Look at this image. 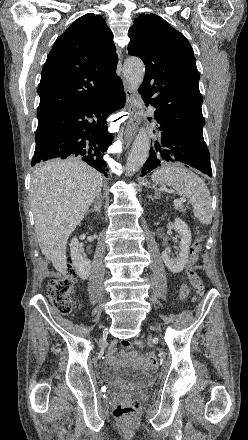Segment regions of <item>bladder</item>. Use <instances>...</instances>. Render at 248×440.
Returning a JSON list of instances; mask_svg holds the SVG:
<instances>
[{
  "label": "bladder",
  "mask_w": 248,
  "mask_h": 440,
  "mask_svg": "<svg viewBox=\"0 0 248 440\" xmlns=\"http://www.w3.org/2000/svg\"><path fill=\"white\" fill-rule=\"evenodd\" d=\"M103 378L113 384L119 385H146L151 382L152 376L143 370L135 368H108L102 370Z\"/></svg>",
  "instance_id": "obj_1"
}]
</instances>
